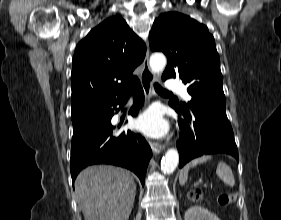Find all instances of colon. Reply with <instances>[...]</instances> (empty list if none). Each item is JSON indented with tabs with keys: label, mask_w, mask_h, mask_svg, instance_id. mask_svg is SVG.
Returning a JSON list of instances; mask_svg holds the SVG:
<instances>
[{
	"label": "colon",
	"mask_w": 281,
	"mask_h": 220,
	"mask_svg": "<svg viewBox=\"0 0 281 220\" xmlns=\"http://www.w3.org/2000/svg\"><path fill=\"white\" fill-rule=\"evenodd\" d=\"M190 198L192 199V200H196V201H198V200H200V199H202V193L201 192H199V191H192L191 193H190ZM236 199V194H221V195H219V197H218V203L220 204V205H228V204H230L231 202H233L234 200Z\"/></svg>",
	"instance_id": "colon-1"
}]
</instances>
